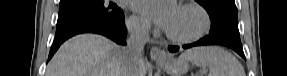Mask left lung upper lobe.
I'll return each mask as SVG.
<instances>
[{"instance_id":"obj_1","label":"left lung upper lobe","mask_w":287,"mask_h":76,"mask_svg":"<svg viewBox=\"0 0 287 76\" xmlns=\"http://www.w3.org/2000/svg\"><path fill=\"white\" fill-rule=\"evenodd\" d=\"M196 1L206 9L210 16V36L232 43H241L234 0Z\"/></svg>"}]
</instances>
